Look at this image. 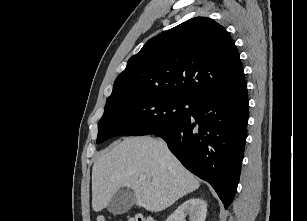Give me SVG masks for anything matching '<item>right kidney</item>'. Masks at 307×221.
Returning <instances> with one entry per match:
<instances>
[{
	"instance_id": "obj_1",
	"label": "right kidney",
	"mask_w": 307,
	"mask_h": 221,
	"mask_svg": "<svg viewBox=\"0 0 307 221\" xmlns=\"http://www.w3.org/2000/svg\"><path fill=\"white\" fill-rule=\"evenodd\" d=\"M207 203L200 198H190L181 204L166 221H185L189 216L190 221H205Z\"/></svg>"
}]
</instances>
